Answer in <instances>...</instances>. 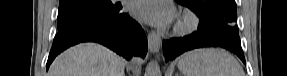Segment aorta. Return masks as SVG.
Here are the masks:
<instances>
[{
	"instance_id": "obj_1",
	"label": "aorta",
	"mask_w": 287,
	"mask_h": 76,
	"mask_svg": "<svg viewBox=\"0 0 287 76\" xmlns=\"http://www.w3.org/2000/svg\"><path fill=\"white\" fill-rule=\"evenodd\" d=\"M145 76H161L160 66L157 61H150L145 69Z\"/></svg>"
}]
</instances>
